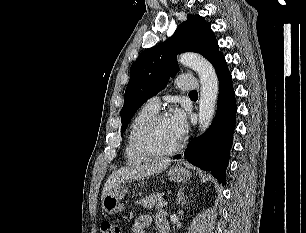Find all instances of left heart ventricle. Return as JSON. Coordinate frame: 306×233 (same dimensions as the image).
I'll list each match as a JSON object with an SVG mask.
<instances>
[{
  "mask_svg": "<svg viewBox=\"0 0 306 233\" xmlns=\"http://www.w3.org/2000/svg\"><path fill=\"white\" fill-rule=\"evenodd\" d=\"M152 141L160 150H170L174 148L180 141L169 122V118L162 119L153 132Z\"/></svg>",
  "mask_w": 306,
  "mask_h": 233,
  "instance_id": "b2bd125f",
  "label": "left heart ventricle"
}]
</instances>
